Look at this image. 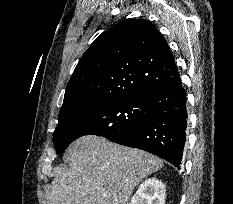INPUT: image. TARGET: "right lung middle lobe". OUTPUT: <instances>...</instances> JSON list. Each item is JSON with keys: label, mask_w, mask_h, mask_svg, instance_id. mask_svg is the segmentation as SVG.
Instances as JSON below:
<instances>
[{"label": "right lung middle lobe", "mask_w": 233, "mask_h": 204, "mask_svg": "<svg viewBox=\"0 0 233 204\" xmlns=\"http://www.w3.org/2000/svg\"><path fill=\"white\" fill-rule=\"evenodd\" d=\"M149 102V95L130 97L70 118L53 133L56 152L60 154L81 136L97 135L111 139L134 129L151 117Z\"/></svg>", "instance_id": "right-lung-middle-lobe-1"}]
</instances>
